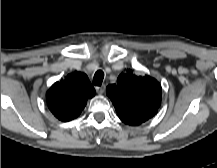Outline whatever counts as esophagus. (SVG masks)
Returning <instances> with one entry per match:
<instances>
[{
	"instance_id": "1",
	"label": "esophagus",
	"mask_w": 217,
	"mask_h": 168,
	"mask_svg": "<svg viewBox=\"0 0 217 168\" xmlns=\"http://www.w3.org/2000/svg\"><path fill=\"white\" fill-rule=\"evenodd\" d=\"M96 92H97L98 94H103V93L105 92V85L96 87Z\"/></svg>"
}]
</instances>
